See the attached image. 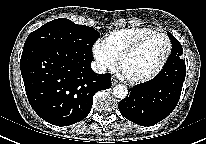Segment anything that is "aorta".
<instances>
[{
	"label": "aorta",
	"instance_id": "1",
	"mask_svg": "<svg viewBox=\"0 0 206 144\" xmlns=\"http://www.w3.org/2000/svg\"><path fill=\"white\" fill-rule=\"evenodd\" d=\"M113 95L118 99H124L128 95V89L125 85L118 84L113 88Z\"/></svg>",
	"mask_w": 206,
	"mask_h": 144
}]
</instances>
